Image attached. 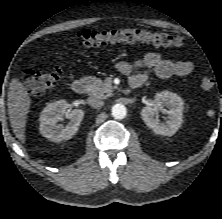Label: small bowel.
<instances>
[{
    "instance_id": "1",
    "label": "small bowel",
    "mask_w": 222,
    "mask_h": 219,
    "mask_svg": "<svg viewBox=\"0 0 222 219\" xmlns=\"http://www.w3.org/2000/svg\"><path fill=\"white\" fill-rule=\"evenodd\" d=\"M116 68L128 77L130 84H143L146 80L145 74H135V70L153 69L157 77L166 79L174 75H189L194 66L190 61L166 59L160 53L149 52L134 62L119 61Z\"/></svg>"
}]
</instances>
